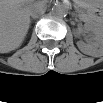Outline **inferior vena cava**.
<instances>
[{
	"mask_svg": "<svg viewBox=\"0 0 103 103\" xmlns=\"http://www.w3.org/2000/svg\"><path fill=\"white\" fill-rule=\"evenodd\" d=\"M46 5L42 2H36L35 4L32 5L31 10H30V15L33 18H37L41 16L45 11H46Z\"/></svg>",
	"mask_w": 103,
	"mask_h": 103,
	"instance_id": "obj_1",
	"label": "inferior vena cava"
}]
</instances>
